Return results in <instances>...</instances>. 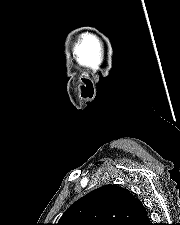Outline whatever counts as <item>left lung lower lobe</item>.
I'll return each instance as SVG.
<instances>
[{
  "label": "left lung lower lobe",
  "mask_w": 180,
  "mask_h": 225,
  "mask_svg": "<svg viewBox=\"0 0 180 225\" xmlns=\"http://www.w3.org/2000/svg\"><path fill=\"white\" fill-rule=\"evenodd\" d=\"M129 225H150L146 211L135 218Z\"/></svg>",
  "instance_id": "obj_1"
}]
</instances>
